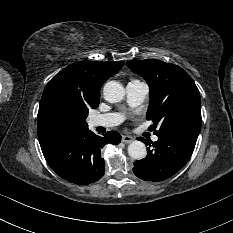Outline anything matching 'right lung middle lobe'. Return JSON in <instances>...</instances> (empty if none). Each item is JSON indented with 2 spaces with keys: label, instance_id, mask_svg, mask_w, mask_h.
<instances>
[{
  "label": "right lung middle lobe",
  "instance_id": "obj_1",
  "mask_svg": "<svg viewBox=\"0 0 233 233\" xmlns=\"http://www.w3.org/2000/svg\"><path fill=\"white\" fill-rule=\"evenodd\" d=\"M86 105L61 93H52L40 104L38 127L48 130H72L87 127Z\"/></svg>",
  "mask_w": 233,
  "mask_h": 233
}]
</instances>
